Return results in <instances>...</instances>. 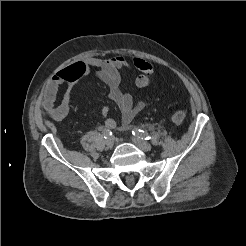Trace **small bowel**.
I'll return each instance as SVG.
<instances>
[{
	"label": "small bowel",
	"instance_id": "small-bowel-1",
	"mask_svg": "<svg viewBox=\"0 0 246 246\" xmlns=\"http://www.w3.org/2000/svg\"><path fill=\"white\" fill-rule=\"evenodd\" d=\"M129 67L128 61L120 55L101 59L86 58L59 70L48 83L42 101L45 112L54 120L61 121L67 117L70 110V98L73 87L80 78L89 73L91 68H97L96 76L109 87V97L121 111V121L129 124L145 107L142 100L135 101L133 97L122 90L120 70ZM66 85L67 89L62 100L57 103L59 87ZM108 107L102 108L104 124L107 128H115L116 122L108 117Z\"/></svg>",
	"mask_w": 246,
	"mask_h": 246
}]
</instances>
